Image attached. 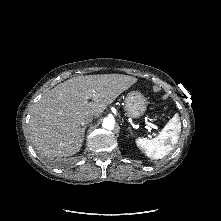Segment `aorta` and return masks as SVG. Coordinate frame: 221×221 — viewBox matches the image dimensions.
Masks as SVG:
<instances>
[{
    "instance_id": "1",
    "label": "aorta",
    "mask_w": 221,
    "mask_h": 221,
    "mask_svg": "<svg viewBox=\"0 0 221 221\" xmlns=\"http://www.w3.org/2000/svg\"><path fill=\"white\" fill-rule=\"evenodd\" d=\"M102 126H103L105 129L112 130V129H114V127H115V121H114V119L111 118V117H106V118L103 119Z\"/></svg>"
}]
</instances>
